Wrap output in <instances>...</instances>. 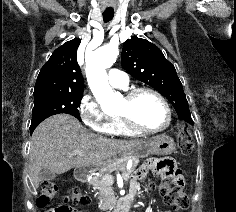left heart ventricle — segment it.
Wrapping results in <instances>:
<instances>
[{
  "label": "left heart ventricle",
  "instance_id": "left-heart-ventricle-1",
  "mask_svg": "<svg viewBox=\"0 0 236 212\" xmlns=\"http://www.w3.org/2000/svg\"><path fill=\"white\" fill-rule=\"evenodd\" d=\"M126 107L122 100L119 113ZM134 115L138 123L148 129L162 127L167 121V112L162 102L151 94L140 95L134 105Z\"/></svg>",
  "mask_w": 236,
  "mask_h": 212
}]
</instances>
